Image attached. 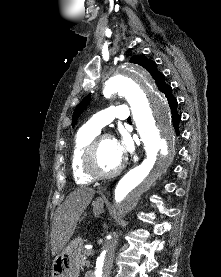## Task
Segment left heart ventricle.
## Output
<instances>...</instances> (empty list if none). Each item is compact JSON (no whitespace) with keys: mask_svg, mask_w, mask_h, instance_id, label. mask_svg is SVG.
Listing matches in <instances>:
<instances>
[{"mask_svg":"<svg viewBox=\"0 0 221 277\" xmlns=\"http://www.w3.org/2000/svg\"><path fill=\"white\" fill-rule=\"evenodd\" d=\"M121 161L122 157L117 150L115 141H102L95 159L96 169L103 173L111 172L120 164Z\"/></svg>","mask_w":221,"mask_h":277,"instance_id":"b2bd125f","label":"left heart ventricle"}]
</instances>
